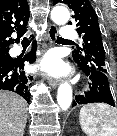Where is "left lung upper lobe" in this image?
<instances>
[{
  "label": "left lung upper lobe",
  "mask_w": 117,
  "mask_h": 136,
  "mask_svg": "<svg viewBox=\"0 0 117 136\" xmlns=\"http://www.w3.org/2000/svg\"><path fill=\"white\" fill-rule=\"evenodd\" d=\"M57 3L67 4L73 10L72 17L78 26L76 30L83 37V45L81 47L77 45L73 51V58L85 65H94L107 74L98 18L90 2L88 0H54L53 5Z\"/></svg>",
  "instance_id": "left-lung-upper-lobe-1"
}]
</instances>
